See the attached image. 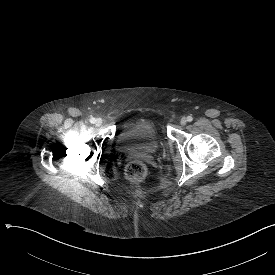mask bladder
Segmentation results:
<instances>
[{
    "label": "bladder",
    "instance_id": "bladder-1",
    "mask_svg": "<svg viewBox=\"0 0 275 275\" xmlns=\"http://www.w3.org/2000/svg\"><path fill=\"white\" fill-rule=\"evenodd\" d=\"M116 140L121 152L142 157L155 156L162 144L155 121L146 116L127 121L118 130Z\"/></svg>",
    "mask_w": 275,
    "mask_h": 275
}]
</instances>
